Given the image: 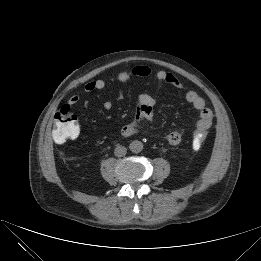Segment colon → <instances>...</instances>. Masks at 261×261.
I'll use <instances>...</instances> for the list:
<instances>
[{
	"instance_id": "obj_1",
	"label": "colon",
	"mask_w": 261,
	"mask_h": 261,
	"mask_svg": "<svg viewBox=\"0 0 261 261\" xmlns=\"http://www.w3.org/2000/svg\"><path fill=\"white\" fill-rule=\"evenodd\" d=\"M80 129L77 118L67 106L62 107L55 115L52 129V138L56 143H63L76 138ZM208 136L207 130L196 131L192 137L193 149H199Z\"/></svg>"
}]
</instances>
